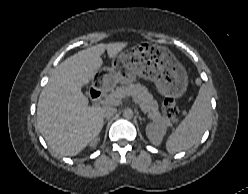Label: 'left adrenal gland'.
<instances>
[{"label":"left adrenal gland","instance_id":"left-adrenal-gland-1","mask_svg":"<svg viewBox=\"0 0 248 194\" xmlns=\"http://www.w3.org/2000/svg\"><path fill=\"white\" fill-rule=\"evenodd\" d=\"M139 120H140V121H142V120L144 121V120H145V118H141V117H139Z\"/></svg>","mask_w":248,"mask_h":194}]
</instances>
